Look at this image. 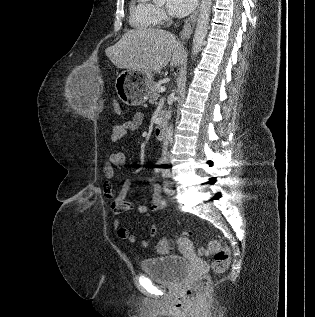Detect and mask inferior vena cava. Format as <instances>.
Returning a JSON list of instances; mask_svg holds the SVG:
<instances>
[{"mask_svg":"<svg viewBox=\"0 0 315 317\" xmlns=\"http://www.w3.org/2000/svg\"><path fill=\"white\" fill-rule=\"evenodd\" d=\"M172 135H173V128H172V126H170L166 131V137L163 141L162 155L164 157V160H166L167 147H168L169 142L172 141Z\"/></svg>","mask_w":315,"mask_h":317,"instance_id":"obj_1","label":"inferior vena cava"}]
</instances>
